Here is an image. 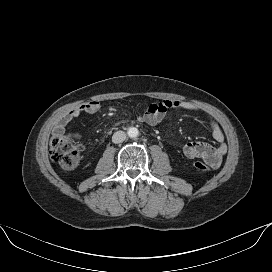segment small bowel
Here are the masks:
<instances>
[{
    "instance_id": "1",
    "label": "small bowel",
    "mask_w": 272,
    "mask_h": 272,
    "mask_svg": "<svg viewBox=\"0 0 272 272\" xmlns=\"http://www.w3.org/2000/svg\"><path fill=\"white\" fill-rule=\"evenodd\" d=\"M100 107L101 105L99 102L90 101L70 110L58 119L53 129L54 134L64 133L65 128L70 121L84 114H94L100 110ZM172 108L182 111L197 112V108L189 102L163 100L151 104L142 114L137 116V120L149 125H157L158 121L164 118L167 112ZM205 119L216 145L203 142H188L183 147V153L190 159H201L209 167L216 169L221 165L223 156L227 152V145L225 143L224 132L220 125L208 116H206ZM76 137L80 138L81 135L76 134Z\"/></svg>"
}]
</instances>
